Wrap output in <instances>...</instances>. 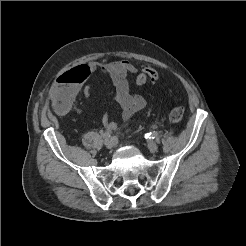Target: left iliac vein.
Segmentation results:
<instances>
[{"label": "left iliac vein", "instance_id": "left-iliac-vein-1", "mask_svg": "<svg viewBox=\"0 0 246 246\" xmlns=\"http://www.w3.org/2000/svg\"><path fill=\"white\" fill-rule=\"evenodd\" d=\"M147 148L150 152L154 153L158 150V145L155 142H150L148 143Z\"/></svg>", "mask_w": 246, "mask_h": 246}]
</instances>
